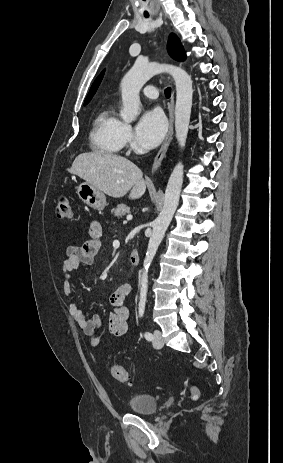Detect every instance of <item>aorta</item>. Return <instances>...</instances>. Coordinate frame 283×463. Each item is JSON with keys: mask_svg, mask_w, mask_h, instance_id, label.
<instances>
[{"mask_svg": "<svg viewBox=\"0 0 283 463\" xmlns=\"http://www.w3.org/2000/svg\"><path fill=\"white\" fill-rule=\"evenodd\" d=\"M160 73L170 74L175 81V132L178 144L183 148L186 144L189 130L193 89L191 77L181 67L137 60L121 81L123 108L120 114L125 122H132L137 118L141 111L139 96L141 88L150 78ZM183 168L184 166L181 162H178L174 167L165 190L163 209L152 225L153 230L141 271V299H145L147 296L149 266L179 203L183 184Z\"/></svg>", "mask_w": 283, "mask_h": 463, "instance_id": "aorta-1", "label": "aorta"}]
</instances>
